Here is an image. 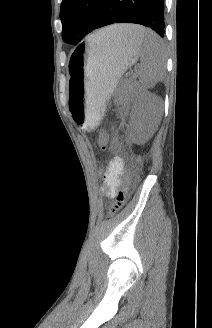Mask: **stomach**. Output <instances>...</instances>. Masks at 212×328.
I'll list each match as a JSON object with an SVG mask.
<instances>
[{"instance_id":"stomach-1","label":"stomach","mask_w":212,"mask_h":328,"mask_svg":"<svg viewBox=\"0 0 212 328\" xmlns=\"http://www.w3.org/2000/svg\"><path fill=\"white\" fill-rule=\"evenodd\" d=\"M140 46L129 41H86L72 53L69 61V109L82 129L93 128L106 100L126 69L139 56Z\"/></svg>"}]
</instances>
